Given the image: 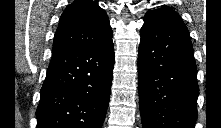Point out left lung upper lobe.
Here are the masks:
<instances>
[{
  "instance_id": "1",
  "label": "left lung upper lobe",
  "mask_w": 221,
  "mask_h": 128,
  "mask_svg": "<svg viewBox=\"0 0 221 128\" xmlns=\"http://www.w3.org/2000/svg\"><path fill=\"white\" fill-rule=\"evenodd\" d=\"M151 16L163 18L168 22L179 26L180 28L187 30L185 24L183 23L178 13L169 7H163L161 9H156L154 11H148L145 15V17H151Z\"/></svg>"
}]
</instances>
